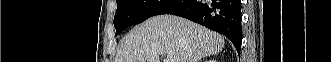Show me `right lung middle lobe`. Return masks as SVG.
<instances>
[{
  "instance_id": "right-lung-middle-lobe-1",
  "label": "right lung middle lobe",
  "mask_w": 331,
  "mask_h": 62,
  "mask_svg": "<svg viewBox=\"0 0 331 62\" xmlns=\"http://www.w3.org/2000/svg\"><path fill=\"white\" fill-rule=\"evenodd\" d=\"M180 0H117L114 17L116 36L125 28L141 23L154 15L162 14Z\"/></svg>"
}]
</instances>
